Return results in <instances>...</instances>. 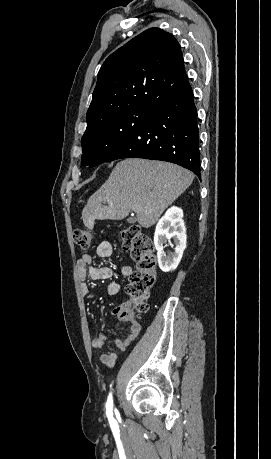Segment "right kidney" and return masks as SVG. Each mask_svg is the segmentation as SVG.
Wrapping results in <instances>:
<instances>
[{"mask_svg": "<svg viewBox=\"0 0 271 459\" xmlns=\"http://www.w3.org/2000/svg\"><path fill=\"white\" fill-rule=\"evenodd\" d=\"M182 218L183 212L181 208L172 206L156 226L154 243L157 249L159 267L162 271H174L183 255L187 237ZM171 237H173L175 243V247H173L174 251L166 255L165 251H163L164 247H166L164 243H167Z\"/></svg>", "mask_w": 271, "mask_h": 459, "instance_id": "right-kidney-1", "label": "right kidney"}]
</instances>
